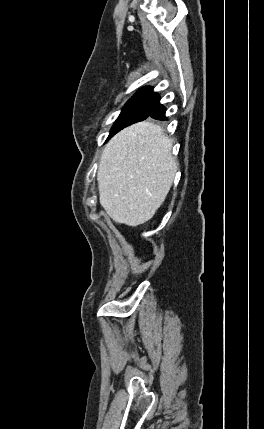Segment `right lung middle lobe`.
<instances>
[{
    "instance_id": "right-lung-middle-lobe-1",
    "label": "right lung middle lobe",
    "mask_w": 264,
    "mask_h": 429,
    "mask_svg": "<svg viewBox=\"0 0 264 429\" xmlns=\"http://www.w3.org/2000/svg\"><path fill=\"white\" fill-rule=\"evenodd\" d=\"M159 100V96L151 88L140 89L125 105L114 126L110 137L124 127L147 118L153 106Z\"/></svg>"
}]
</instances>
